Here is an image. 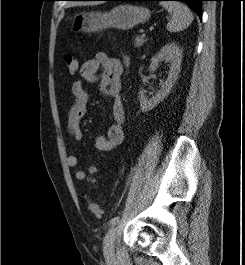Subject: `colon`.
<instances>
[{"instance_id": "5ec220e1", "label": "colon", "mask_w": 245, "mask_h": 265, "mask_svg": "<svg viewBox=\"0 0 245 265\" xmlns=\"http://www.w3.org/2000/svg\"><path fill=\"white\" fill-rule=\"evenodd\" d=\"M64 61L70 73H75L78 70V60L74 55L70 53L65 54ZM120 61L123 65H127L128 63V59L125 56H123ZM89 172L94 175L96 173V167L91 166ZM89 209L95 215L101 214V208L96 202L89 201Z\"/></svg>"}]
</instances>
